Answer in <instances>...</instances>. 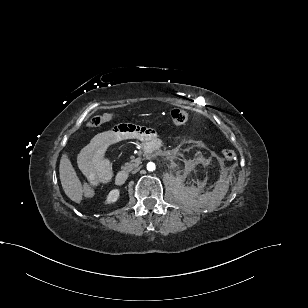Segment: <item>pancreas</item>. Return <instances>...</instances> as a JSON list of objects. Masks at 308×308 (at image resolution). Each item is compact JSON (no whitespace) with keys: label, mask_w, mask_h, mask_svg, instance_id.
<instances>
[{"label":"pancreas","mask_w":308,"mask_h":308,"mask_svg":"<svg viewBox=\"0 0 308 308\" xmlns=\"http://www.w3.org/2000/svg\"><path fill=\"white\" fill-rule=\"evenodd\" d=\"M141 163V158H132L131 162L125 163L122 169L130 171Z\"/></svg>","instance_id":"pancreas-1"}]
</instances>
